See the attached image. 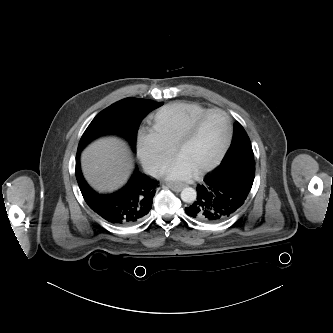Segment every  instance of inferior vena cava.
Instances as JSON below:
<instances>
[{
	"mask_svg": "<svg viewBox=\"0 0 333 333\" xmlns=\"http://www.w3.org/2000/svg\"><path fill=\"white\" fill-rule=\"evenodd\" d=\"M162 174H163V173H162L161 170H156V172H155L154 175H155L156 178H160V177L162 176Z\"/></svg>",
	"mask_w": 333,
	"mask_h": 333,
	"instance_id": "602c4592",
	"label": "inferior vena cava"
}]
</instances>
